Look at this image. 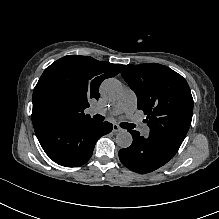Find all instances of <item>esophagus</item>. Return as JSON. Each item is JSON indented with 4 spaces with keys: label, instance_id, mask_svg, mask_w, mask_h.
<instances>
[{
    "label": "esophagus",
    "instance_id": "obj_1",
    "mask_svg": "<svg viewBox=\"0 0 219 219\" xmlns=\"http://www.w3.org/2000/svg\"><path fill=\"white\" fill-rule=\"evenodd\" d=\"M123 129L118 126L117 124H114L113 125V132L116 133V132H121Z\"/></svg>",
    "mask_w": 219,
    "mask_h": 219
}]
</instances>
